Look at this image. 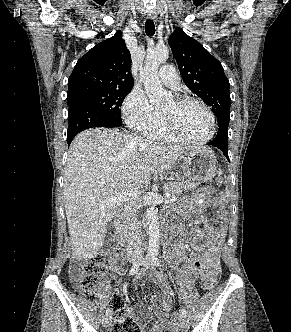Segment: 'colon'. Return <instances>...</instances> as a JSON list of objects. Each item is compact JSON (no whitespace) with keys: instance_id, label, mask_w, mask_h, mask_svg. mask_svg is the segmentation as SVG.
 Wrapping results in <instances>:
<instances>
[{"instance_id":"obj_1","label":"colon","mask_w":291,"mask_h":332,"mask_svg":"<svg viewBox=\"0 0 291 332\" xmlns=\"http://www.w3.org/2000/svg\"><path fill=\"white\" fill-rule=\"evenodd\" d=\"M213 199L215 204L219 206L218 198L215 194H213ZM219 215L221 218L224 217V211L220 206ZM116 253H119V250H116ZM110 259V254L100 253L92 259L73 264L70 269L71 280L80 291L88 294L95 293L99 286L101 276ZM219 276V265H215L209 269L205 276V287L207 289L213 288L216 285ZM110 305L115 317V323L113 324L111 332L142 331L138 322L126 315L124 310V300L121 296L115 295L112 298Z\"/></svg>"}]
</instances>
